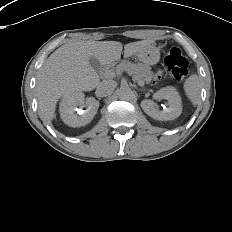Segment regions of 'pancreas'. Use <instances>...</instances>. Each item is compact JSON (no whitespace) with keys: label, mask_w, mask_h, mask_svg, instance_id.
<instances>
[{"label":"pancreas","mask_w":232,"mask_h":232,"mask_svg":"<svg viewBox=\"0 0 232 232\" xmlns=\"http://www.w3.org/2000/svg\"><path fill=\"white\" fill-rule=\"evenodd\" d=\"M112 70L117 72L126 71L137 82H148L153 77L150 66L141 63L134 64L129 61H123L115 67H112Z\"/></svg>","instance_id":"obj_1"}]
</instances>
